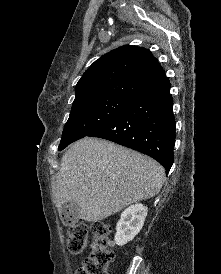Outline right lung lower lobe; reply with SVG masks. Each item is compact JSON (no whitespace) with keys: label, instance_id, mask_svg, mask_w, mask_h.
I'll return each instance as SVG.
<instances>
[{"label":"right lung lower lobe","instance_id":"1","mask_svg":"<svg viewBox=\"0 0 221 274\" xmlns=\"http://www.w3.org/2000/svg\"><path fill=\"white\" fill-rule=\"evenodd\" d=\"M167 78L134 98L88 136L113 141L157 160L168 174L174 162L175 118Z\"/></svg>","mask_w":221,"mask_h":274}]
</instances>
